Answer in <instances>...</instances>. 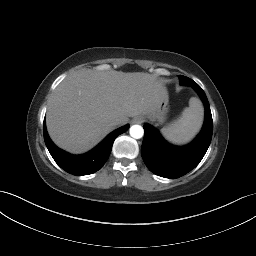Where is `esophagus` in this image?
Here are the masks:
<instances>
[{
	"label": "esophagus",
	"mask_w": 256,
	"mask_h": 256,
	"mask_svg": "<svg viewBox=\"0 0 256 256\" xmlns=\"http://www.w3.org/2000/svg\"><path fill=\"white\" fill-rule=\"evenodd\" d=\"M143 122V118L142 117H135L133 120H132V123L134 124H140Z\"/></svg>",
	"instance_id": "1"
}]
</instances>
